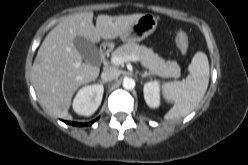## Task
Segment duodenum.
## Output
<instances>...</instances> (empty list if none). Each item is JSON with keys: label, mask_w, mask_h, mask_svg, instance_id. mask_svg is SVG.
I'll return each instance as SVG.
<instances>
[{"label": "duodenum", "mask_w": 248, "mask_h": 165, "mask_svg": "<svg viewBox=\"0 0 248 165\" xmlns=\"http://www.w3.org/2000/svg\"><path fill=\"white\" fill-rule=\"evenodd\" d=\"M109 53V46L108 45H103L100 48V58L102 61H104L107 57V54Z\"/></svg>", "instance_id": "1"}]
</instances>
